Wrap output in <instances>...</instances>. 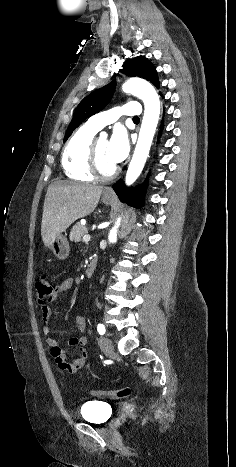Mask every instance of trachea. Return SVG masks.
<instances>
[{
    "label": "trachea",
    "instance_id": "trachea-1",
    "mask_svg": "<svg viewBox=\"0 0 236 467\" xmlns=\"http://www.w3.org/2000/svg\"><path fill=\"white\" fill-rule=\"evenodd\" d=\"M133 121H140V118H139L138 116H135V117L133 118Z\"/></svg>",
    "mask_w": 236,
    "mask_h": 467
}]
</instances>
